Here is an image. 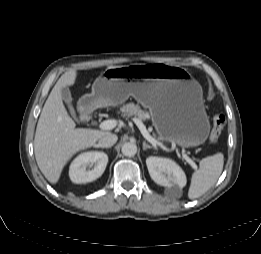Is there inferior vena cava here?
I'll return each mask as SVG.
<instances>
[{
  "instance_id": "602c4592",
  "label": "inferior vena cava",
  "mask_w": 261,
  "mask_h": 254,
  "mask_svg": "<svg viewBox=\"0 0 261 254\" xmlns=\"http://www.w3.org/2000/svg\"><path fill=\"white\" fill-rule=\"evenodd\" d=\"M117 140H118L117 135L109 133L102 136L99 139L98 145L102 148H109L113 146L117 142Z\"/></svg>"
}]
</instances>
